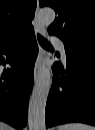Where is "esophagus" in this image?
<instances>
[{
	"label": "esophagus",
	"instance_id": "34e87169",
	"mask_svg": "<svg viewBox=\"0 0 95 130\" xmlns=\"http://www.w3.org/2000/svg\"><path fill=\"white\" fill-rule=\"evenodd\" d=\"M38 13H39V3L37 1V7H36V11H35V16H34V22H35V28H36V32L42 36L45 35L46 31H45V27L43 26V24L40 22L39 18H38ZM45 57V51L44 49L39 45V52H38V56H37V60L35 63V68H34V81L36 82L39 74L41 73L42 69H43V60Z\"/></svg>",
	"mask_w": 95,
	"mask_h": 130
}]
</instances>
